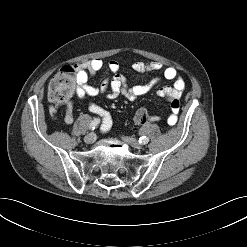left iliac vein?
Returning <instances> with one entry per match:
<instances>
[{
    "label": "left iliac vein",
    "instance_id": "1",
    "mask_svg": "<svg viewBox=\"0 0 247 247\" xmlns=\"http://www.w3.org/2000/svg\"><path fill=\"white\" fill-rule=\"evenodd\" d=\"M122 139H123V141H125L126 143H128L129 145H131L134 148L140 149L142 147V145L134 138L124 136V137H122Z\"/></svg>",
    "mask_w": 247,
    "mask_h": 247
}]
</instances>
